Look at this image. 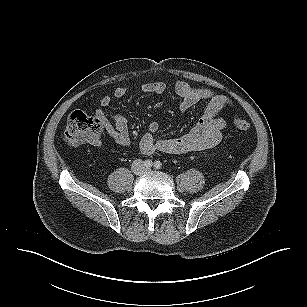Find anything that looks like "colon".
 <instances>
[{"instance_id":"colon-1","label":"colon","mask_w":307,"mask_h":307,"mask_svg":"<svg viewBox=\"0 0 307 307\" xmlns=\"http://www.w3.org/2000/svg\"><path fill=\"white\" fill-rule=\"evenodd\" d=\"M234 126L242 131L250 128V123L242 118L233 119ZM102 126L99 120L82 111H74L67 119L65 141L70 146H79L84 143H95L99 140Z\"/></svg>"}]
</instances>
